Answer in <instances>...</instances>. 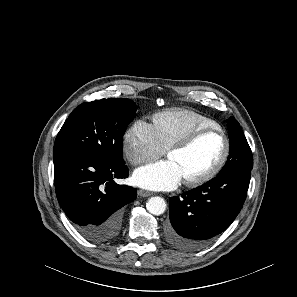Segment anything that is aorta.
I'll use <instances>...</instances> for the list:
<instances>
[{"mask_svg":"<svg viewBox=\"0 0 297 297\" xmlns=\"http://www.w3.org/2000/svg\"><path fill=\"white\" fill-rule=\"evenodd\" d=\"M147 210L153 215H161L166 210V202L162 197H151L146 203Z\"/></svg>","mask_w":297,"mask_h":297,"instance_id":"aorta-1","label":"aorta"}]
</instances>
